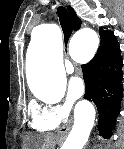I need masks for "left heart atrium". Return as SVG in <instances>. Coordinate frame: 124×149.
I'll list each match as a JSON object with an SVG mask.
<instances>
[{
	"mask_svg": "<svg viewBox=\"0 0 124 149\" xmlns=\"http://www.w3.org/2000/svg\"><path fill=\"white\" fill-rule=\"evenodd\" d=\"M84 90L85 86L82 79L74 77L69 82L68 98L70 100H78L82 97Z\"/></svg>",
	"mask_w": 124,
	"mask_h": 149,
	"instance_id": "left-heart-atrium-1",
	"label": "left heart atrium"
}]
</instances>
